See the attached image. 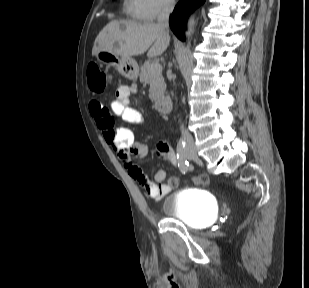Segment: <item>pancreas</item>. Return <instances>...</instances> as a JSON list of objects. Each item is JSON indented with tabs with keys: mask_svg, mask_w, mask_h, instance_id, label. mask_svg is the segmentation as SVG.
I'll return each mask as SVG.
<instances>
[{
	"mask_svg": "<svg viewBox=\"0 0 309 288\" xmlns=\"http://www.w3.org/2000/svg\"><path fill=\"white\" fill-rule=\"evenodd\" d=\"M152 64L153 63L150 61H146L141 67L139 77L142 83H148L150 85L149 98L152 102H154L164 95L166 84L162 76V69L151 71L150 68Z\"/></svg>",
	"mask_w": 309,
	"mask_h": 288,
	"instance_id": "pancreas-1",
	"label": "pancreas"
}]
</instances>
